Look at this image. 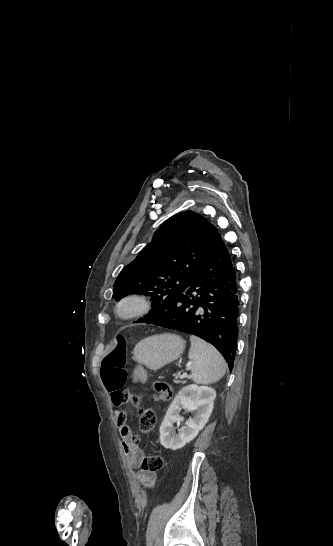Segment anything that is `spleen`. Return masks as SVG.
I'll list each match as a JSON object with an SVG mask.
<instances>
[{"label":"spleen","mask_w":333,"mask_h":546,"mask_svg":"<svg viewBox=\"0 0 333 546\" xmlns=\"http://www.w3.org/2000/svg\"><path fill=\"white\" fill-rule=\"evenodd\" d=\"M190 342L192 380L197 384H212L219 381L226 372V363L222 355L212 345L196 336H190Z\"/></svg>","instance_id":"spleen-1"}]
</instances>
